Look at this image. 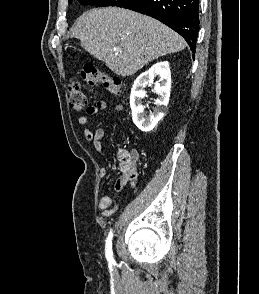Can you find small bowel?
Listing matches in <instances>:
<instances>
[{"mask_svg": "<svg viewBox=\"0 0 259 294\" xmlns=\"http://www.w3.org/2000/svg\"><path fill=\"white\" fill-rule=\"evenodd\" d=\"M108 105L107 102L104 100H99L97 101L93 106H89L87 109V114L91 115V116H96L98 115L100 112L105 111L107 109ZM78 123L85 127L84 129V136L86 138V140L90 141L93 146L94 149L97 152H101L102 151V140L104 138V130L102 128H98L95 131H91L89 130L86 126L88 123V119L85 116H80L78 118ZM138 154L136 152H133L131 155V161L132 164H136V162L138 161ZM99 176L101 178H105L107 177V169L106 168H101L99 170ZM127 182V175L123 174L121 175L116 183H115V191L117 193L121 192V190L123 189V186L125 185V183ZM99 207L102 211V214L107 217L112 215L116 209L117 206L113 205V201L111 199V197L109 196H104L101 198L100 202H99Z\"/></svg>", "mask_w": 259, "mask_h": 294, "instance_id": "1", "label": "small bowel"}]
</instances>
